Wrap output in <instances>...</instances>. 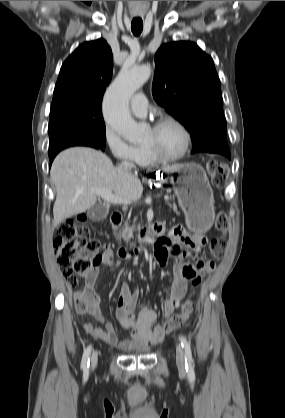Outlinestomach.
<instances>
[{
    "mask_svg": "<svg viewBox=\"0 0 285 418\" xmlns=\"http://www.w3.org/2000/svg\"><path fill=\"white\" fill-rule=\"evenodd\" d=\"M163 178H169L174 185L188 228L194 232H206L214 219V198L203 167L196 163L179 164L165 171Z\"/></svg>",
    "mask_w": 285,
    "mask_h": 418,
    "instance_id": "0dacf381",
    "label": "stomach"
}]
</instances>
